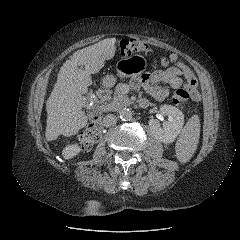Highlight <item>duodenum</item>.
<instances>
[{
  "label": "duodenum",
  "mask_w": 240,
  "mask_h": 240,
  "mask_svg": "<svg viewBox=\"0 0 240 240\" xmlns=\"http://www.w3.org/2000/svg\"><path fill=\"white\" fill-rule=\"evenodd\" d=\"M97 94L98 97L106 103L109 98V89L107 87H102L98 90Z\"/></svg>",
  "instance_id": "1"
}]
</instances>
